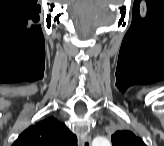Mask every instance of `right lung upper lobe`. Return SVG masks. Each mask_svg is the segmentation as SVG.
Segmentation results:
<instances>
[{
    "mask_svg": "<svg viewBox=\"0 0 164 146\" xmlns=\"http://www.w3.org/2000/svg\"><path fill=\"white\" fill-rule=\"evenodd\" d=\"M76 144L77 137L66 125L54 117H49L22 132L13 146H73Z\"/></svg>",
    "mask_w": 164,
    "mask_h": 146,
    "instance_id": "1",
    "label": "right lung upper lobe"
}]
</instances>
